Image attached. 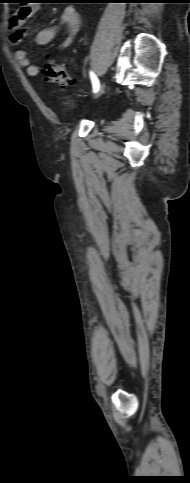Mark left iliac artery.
Returning a JSON list of instances; mask_svg holds the SVG:
<instances>
[{"mask_svg": "<svg viewBox=\"0 0 190 483\" xmlns=\"http://www.w3.org/2000/svg\"><path fill=\"white\" fill-rule=\"evenodd\" d=\"M90 76H91L93 91L96 93L99 91V87H100L99 80L93 72H90Z\"/></svg>", "mask_w": 190, "mask_h": 483, "instance_id": "1", "label": "left iliac artery"}]
</instances>
